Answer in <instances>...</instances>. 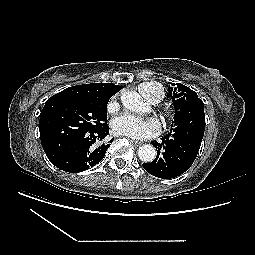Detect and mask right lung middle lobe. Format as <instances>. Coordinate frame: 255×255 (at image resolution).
Returning <instances> with one entry per match:
<instances>
[{
    "mask_svg": "<svg viewBox=\"0 0 255 255\" xmlns=\"http://www.w3.org/2000/svg\"><path fill=\"white\" fill-rule=\"evenodd\" d=\"M107 97H51L40 114V138L54 149L70 139L102 127L107 121Z\"/></svg>",
    "mask_w": 255,
    "mask_h": 255,
    "instance_id": "1",
    "label": "right lung middle lobe"
}]
</instances>
